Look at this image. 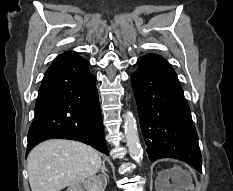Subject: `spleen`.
Segmentation results:
<instances>
[{"label": "spleen", "mask_w": 233, "mask_h": 191, "mask_svg": "<svg viewBox=\"0 0 233 191\" xmlns=\"http://www.w3.org/2000/svg\"><path fill=\"white\" fill-rule=\"evenodd\" d=\"M183 174H184L185 176H189V174H188V173H185V172H184Z\"/></svg>", "instance_id": "obj_1"}]
</instances>
